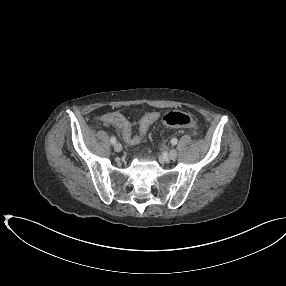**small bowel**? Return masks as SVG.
Returning <instances> with one entry per match:
<instances>
[{
	"instance_id": "small-bowel-1",
	"label": "small bowel",
	"mask_w": 286,
	"mask_h": 286,
	"mask_svg": "<svg viewBox=\"0 0 286 286\" xmlns=\"http://www.w3.org/2000/svg\"><path fill=\"white\" fill-rule=\"evenodd\" d=\"M158 118H159V113L157 112L147 113L144 117L141 118L139 125L144 121H147L149 128L150 125H152L158 120ZM101 121L105 124L114 125L118 129L121 137L126 143L130 145L136 144L135 136L132 134L131 123L128 120H126V118L120 113L117 112L107 113L101 117Z\"/></svg>"
}]
</instances>
